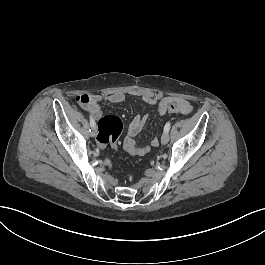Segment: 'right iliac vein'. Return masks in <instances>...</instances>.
Masks as SVG:
<instances>
[{"instance_id":"obj_1","label":"right iliac vein","mask_w":265,"mask_h":265,"mask_svg":"<svg viewBox=\"0 0 265 265\" xmlns=\"http://www.w3.org/2000/svg\"><path fill=\"white\" fill-rule=\"evenodd\" d=\"M97 134H98V133H97V129H96V127H93L92 130H91V136H92V137H96Z\"/></svg>"}]
</instances>
